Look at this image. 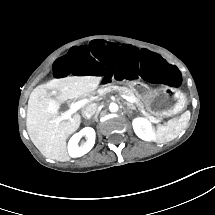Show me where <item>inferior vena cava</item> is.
Segmentation results:
<instances>
[{"instance_id":"inferior-vena-cava-1","label":"inferior vena cava","mask_w":215,"mask_h":215,"mask_svg":"<svg viewBox=\"0 0 215 215\" xmlns=\"http://www.w3.org/2000/svg\"><path fill=\"white\" fill-rule=\"evenodd\" d=\"M97 113V107L93 104L87 105L82 109V116L85 119L92 118Z\"/></svg>"}]
</instances>
